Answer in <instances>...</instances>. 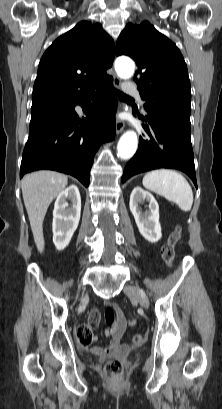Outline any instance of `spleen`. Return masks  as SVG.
<instances>
[{"instance_id":"obj_1","label":"spleen","mask_w":222,"mask_h":409,"mask_svg":"<svg viewBox=\"0 0 222 409\" xmlns=\"http://www.w3.org/2000/svg\"><path fill=\"white\" fill-rule=\"evenodd\" d=\"M142 183L145 188L176 203L182 211L191 210L192 188L180 173L169 169L153 170L144 176Z\"/></svg>"}]
</instances>
